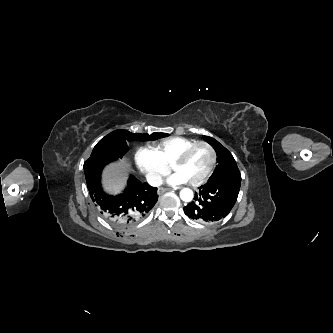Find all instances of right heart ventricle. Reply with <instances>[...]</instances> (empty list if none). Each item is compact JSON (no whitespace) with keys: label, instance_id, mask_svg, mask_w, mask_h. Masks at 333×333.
<instances>
[{"label":"right heart ventricle","instance_id":"right-heart-ventricle-1","mask_svg":"<svg viewBox=\"0 0 333 333\" xmlns=\"http://www.w3.org/2000/svg\"><path fill=\"white\" fill-rule=\"evenodd\" d=\"M195 140L180 137L171 136L155 142L152 149L156 152L160 160L165 165H171L173 160L187 147L194 144Z\"/></svg>","mask_w":333,"mask_h":333}]
</instances>
